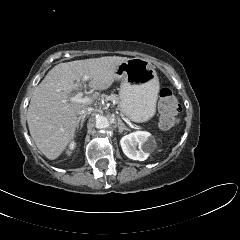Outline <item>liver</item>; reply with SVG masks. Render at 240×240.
Instances as JSON below:
<instances>
[{
    "label": "liver",
    "mask_w": 240,
    "mask_h": 240,
    "mask_svg": "<svg viewBox=\"0 0 240 240\" xmlns=\"http://www.w3.org/2000/svg\"><path fill=\"white\" fill-rule=\"evenodd\" d=\"M130 58L107 56L60 63L53 67L35 88L27 112V123L37 148L48 158H58L75 136L79 112L91 105L70 100L71 93L81 87V79L89 76L94 90L109 88L116 78V69Z\"/></svg>",
    "instance_id": "6515ba94"
}]
</instances>
